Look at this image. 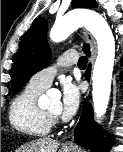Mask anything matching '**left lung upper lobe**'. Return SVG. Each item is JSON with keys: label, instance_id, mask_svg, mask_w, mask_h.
<instances>
[{"label": "left lung upper lobe", "instance_id": "obj_1", "mask_svg": "<svg viewBox=\"0 0 123 152\" xmlns=\"http://www.w3.org/2000/svg\"><path fill=\"white\" fill-rule=\"evenodd\" d=\"M73 7H95V0H73ZM47 21L37 18L26 33L12 71L11 88L17 94L36 72L49 65L51 51L47 44Z\"/></svg>", "mask_w": 123, "mask_h": 152}]
</instances>
